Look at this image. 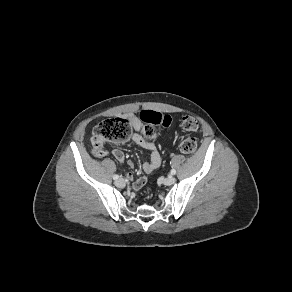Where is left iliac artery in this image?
Instances as JSON below:
<instances>
[{"mask_svg":"<svg viewBox=\"0 0 292 292\" xmlns=\"http://www.w3.org/2000/svg\"><path fill=\"white\" fill-rule=\"evenodd\" d=\"M170 173H171V175H175L176 174V170L172 169Z\"/></svg>","mask_w":292,"mask_h":292,"instance_id":"44dca946","label":"left iliac artery"}]
</instances>
